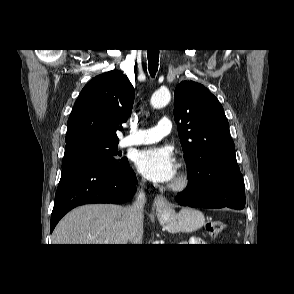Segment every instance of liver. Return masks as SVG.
Masks as SVG:
<instances>
[{
  "mask_svg": "<svg viewBox=\"0 0 294 294\" xmlns=\"http://www.w3.org/2000/svg\"><path fill=\"white\" fill-rule=\"evenodd\" d=\"M125 245L129 242L127 207L89 204L77 207L60 220L52 234L53 244Z\"/></svg>",
  "mask_w": 294,
  "mask_h": 294,
  "instance_id": "liver-1",
  "label": "liver"
}]
</instances>
